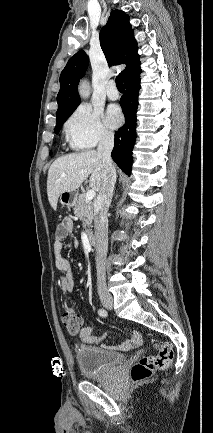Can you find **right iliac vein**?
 Here are the masks:
<instances>
[{"label": "right iliac vein", "mask_w": 213, "mask_h": 433, "mask_svg": "<svg viewBox=\"0 0 213 433\" xmlns=\"http://www.w3.org/2000/svg\"><path fill=\"white\" fill-rule=\"evenodd\" d=\"M100 300L104 307L111 309L113 307V298L108 293L100 294Z\"/></svg>", "instance_id": "obj_1"}]
</instances>
